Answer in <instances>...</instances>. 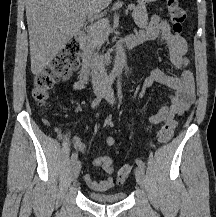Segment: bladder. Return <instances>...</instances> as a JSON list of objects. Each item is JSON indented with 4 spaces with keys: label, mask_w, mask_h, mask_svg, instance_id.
Instances as JSON below:
<instances>
[{
    "label": "bladder",
    "mask_w": 216,
    "mask_h": 217,
    "mask_svg": "<svg viewBox=\"0 0 216 217\" xmlns=\"http://www.w3.org/2000/svg\"><path fill=\"white\" fill-rule=\"evenodd\" d=\"M89 199L92 202L99 204H115L122 202L125 197V192H108V193H100L96 191H90L88 193Z\"/></svg>",
    "instance_id": "31cf9c89"
}]
</instances>
